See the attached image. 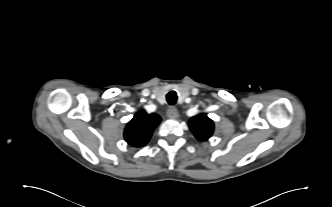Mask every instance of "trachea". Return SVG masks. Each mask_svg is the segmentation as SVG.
<instances>
[{"label": "trachea", "mask_w": 332, "mask_h": 207, "mask_svg": "<svg viewBox=\"0 0 332 207\" xmlns=\"http://www.w3.org/2000/svg\"><path fill=\"white\" fill-rule=\"evenodd\" d=\"M169 105H174L177 101V94L175 91H170L166 96Z\"/></svg>", "instance_id": "1"}]
</instances>
